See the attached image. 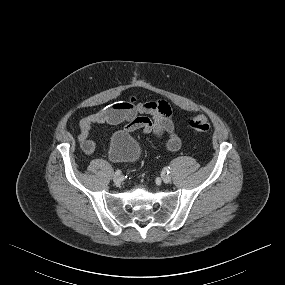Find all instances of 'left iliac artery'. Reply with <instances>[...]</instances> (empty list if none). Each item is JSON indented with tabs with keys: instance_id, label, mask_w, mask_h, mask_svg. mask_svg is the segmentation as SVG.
I'll use <instances>...</instances> for the list:
<instances>
[{
	"instance_id": "left-iliac-artery-1",
	"label": "left iliac artery",
	"mask_w": 285,
	"mask_h": 285,
	"mask_svg": "<svg viewBox=\"0 0 285 285\" xmlns=\"http://www.w3.org/2000/svg\"><path fill=\"white\" fill-rule=\"evenodd\" d=\"M163 172L169 174L170 173V167H164Z\"/></svg>"
}]
</instances>
